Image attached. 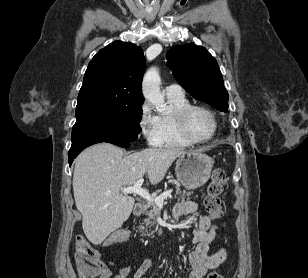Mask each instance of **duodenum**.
I'll use <instances>...</instances> for the list:
<instances>
[{"instance_id":"obj_1","label":"duodenum","mask_w":308,"mask_h":278,"mask_svg":"<svg viewBox=\"0 0 308 278\" xmlns=\"http://www.w3.org/2000/svg\"><path fill=\"white\" fill-rule=\"evenodd\" d=\"M144 206L142 204H138L135 208V215H140L143 211Z\"/></svg>"}]
</instances>
